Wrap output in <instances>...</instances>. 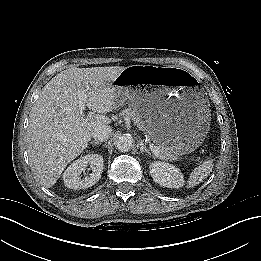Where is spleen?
<instances>
[{"label":"spleen","mask_w":261,"mask_h":261,"mask_svg":"<svg viewBox=\"0 0 261 261\" xmlns=\"http://www.w3.org/2000/svg\"><path fill=\"white\" fill-rule=\"evenodd\" d=\"M214 164L213 159L204 161L200 166L196 167L189 176L187 188H193L201 183L212 171Z\"/></svg>","instance_id":"obj_1"}]
</instances>
